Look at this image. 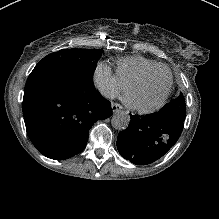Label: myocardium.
Masks as SVG:
<instances>
[{"label": "myocardium", "mask_w": 219, "mask_h": 219, "mask_svg": "<svg viewBox=\"0 0 219 219\" xmlns=\"http://www.w3.org/2000/svg\"><path fill=\"white\" fill-rule=\"evenodd\" d=\"M166 69L169 73V76H170V80H169V84H168V87L165 89L163 95L161 96V98L156 101L155 103L151 104V105H141V104H138V103H132L131 106L138 109L139 111H143V112H148V111H153L157 108H159L161 105L164 104V102L167 100L169 94H170V91H171V88H172V85H173V73L171 71V69L167 66H164V65H160L156 70H152V71H148V72H145L143 74H141L140 76H138L127 88V92L126 94L131 97V94H132V91L134 89L135 86H137L138 84L142 83L143 81H146L150 78H152L153 76L157 75L161 70H164Z\"/></svg>", "instance_id": "myocardium-1"}]
</instances>
